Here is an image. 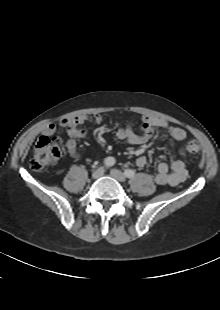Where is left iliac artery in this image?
<instances>
[{"instance_id":"left-iliac-artery-1","label":"left iliac artery","mask_w":220,"mask_h":310,"mask_svg":"<svg viewBox=\"0 0 220 310\" xmlns=\"http://www.w3.org/2000/svg\"><path fill=\"white\" fill-rule=\"evenodd\" d=\"M124 174H125L126 177H128V178H133L134 175H135V171H134V170H131V169H128V170H125Z\"/></svg>"}]
</instances>
